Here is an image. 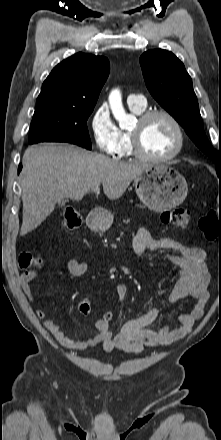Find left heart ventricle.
Returning <instances> with one entry per match:
<instances>
[{"label":"left heart ventricle","mask_w":221,"mask_h":440,"mask_svg":"<svg viewBox=\"0 0 221 440\" xmlns=\"http://www.w3.org/2000/svg\"><path fill=\"white\" fill-rule=\"evenodd\" d=\"M132 131L139 134L143 149L152 156H166L177 144L173 125L163 116H155L144 124L137 122Z\"/></svg>","instance_id":"obj_1"}]
</instances>
